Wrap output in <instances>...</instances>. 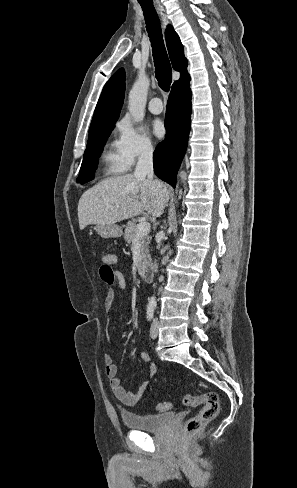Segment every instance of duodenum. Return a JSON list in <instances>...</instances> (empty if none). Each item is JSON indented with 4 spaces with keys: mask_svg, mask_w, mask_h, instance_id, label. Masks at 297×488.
Instances as JSON below:
<instances>
[{
    "mask_svg": "<svg viewBox=\"0 0 297 488\" xmlns=\"http://www.w3.org/2000/svg\"><path fill=\"white\" fill-rule=\"evenodd\" d=\"M139 275L147 282L153 279V269L151 264H143L139 267Z\"/></svg>",
    "mask_w": 297,
    "mask_h": 488,
    "instance_id": "duodenum-1",
    "label": "duodenum"
}]
</instances>
